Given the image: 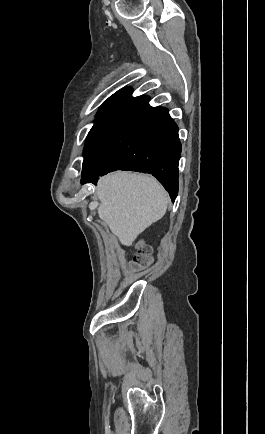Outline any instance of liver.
Here are the masks:
<instances>
[{
    "mask_svg": "<svg viewBox=\"0 0 265 434\" xmlns=\"http://www.w3.org/2000/svg\"><path fill=\"white\" fill-rule=\"evenodd\" d=\"M100 220L108 224L123 246L166 214L169 198L163 186L143 174L115 172L100 178L97 188Z\"/></svg>",
    "mask_w": 265,
    "mask_h": 434,
    "instance_id": "liver-1",
    "label": "liver"
}]
</instances>
